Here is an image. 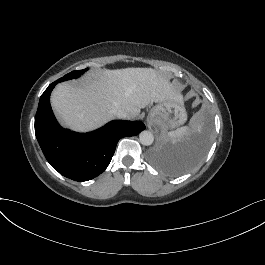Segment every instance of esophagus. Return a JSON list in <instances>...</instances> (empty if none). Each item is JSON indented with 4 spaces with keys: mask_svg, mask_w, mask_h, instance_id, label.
Here are the masks:
<instances>
[{
    "mask_svg": "<svg viewBox=\"0 0 265 265\" xmlns=\"http://www.w3.org/2000/svg\"><path fill=\"white\" fill-rule=\"evenodd\" d=\"M147 126L149 129H153L155 127V123L150 118H148L147 119Z\"/></svg>",
    "mask_w": 265,
    "mask_h": 265,
    "instance_id": "esophagus-1",
    "label": "esophagus"
}]
</instances>
